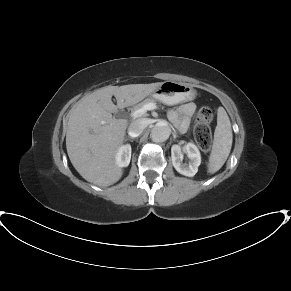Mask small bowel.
I'll return each mask as SVG.
<instances>
[{
  "instance_id": "small-bowel-1",
  "label": "small bowel",
  "mask_w": 291,
  "mask_h": 291,
  "mask_svg": "<svg viewBox=\"0 0 291 291\" xmlns=\"http://www.w3.org/2000/svg\"><path fill=\"white\" fill-rule=\"evenodd\" d=\"M196 106L193 103H186L180 106L177 110H171L168 113L170 121L180 131H185L188 128L190 118L195 113Z\"/></svg>"
}]
</instances>
